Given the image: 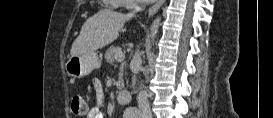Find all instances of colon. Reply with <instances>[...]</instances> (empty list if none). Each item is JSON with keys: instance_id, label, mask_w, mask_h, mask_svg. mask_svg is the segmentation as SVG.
<instances>
[{"instance_id": "obj_1", "label": "colon", "mask_w": 273, "mask_h": 118, "mask_svg": "<svg viewBox=\"0 0 273 118\" xmlns=\"http://www.w3.org/2000/svg\"><path fill=\"white\" fill-rule=\"evenodd\" d=\"M71 111L77 116H83L87 112V105L80 95L73 96L71 100Z\"/></svg>"}]
</instances>
